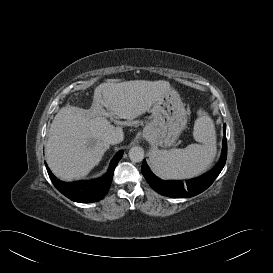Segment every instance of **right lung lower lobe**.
<instances>
[{
  "instance_id": "98d812e1",
  "label": "right lung lower lobe",
  "mask_w": 273,
  "mask_h": 273,
  "mask_svg": "<svg viewBox=\"0 0 273 273\" xmlns=\"http://www.w3.org/2000/svg\"><path fill=\"white\" fill-rule=\"evenodd\" d=\"M122 155V151L117 153L111 161L108 172L103 177L91 181L62 182L52 174L47 164L46 168L53 185L67 198L79 203L97 202L107 194L114 169Z\"/></svg>"
}]
</instances>
